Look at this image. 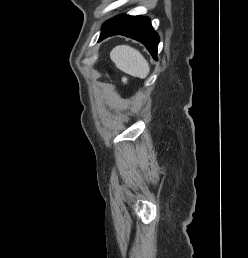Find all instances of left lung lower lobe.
<instances>
[{"mask_svg":"<svg viewBox=\"0 0 248 258\" xmlns=\"http://www.w3.org/2000/svg\"><path fill=\"white\" fill-rule=\"evenodd\" d=\"M113 35H124L140 41L146 46L151 55L157 59L159 36L153 30L149 18L119 15L105 23L99 41Z\"/></svg>","mask_w":248,"mask_h":258,"instance_id":"left-lung-lower-lobe-1","label":"left lung lower lobe"}]
</instances>
